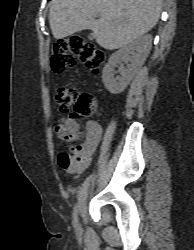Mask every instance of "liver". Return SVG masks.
I'll list each match as a JSON object with an SVG mask.
<instances>
[{"instance_id":"1","label":"liver","mask_w":194,"mask_h":250,"mask_svg":"<svg viewBox=\"0 0 194 250\" xmlns=\"http://www.w3.org/2000/svg\"><path fill=\"white\" fill-rule=\"evenodd\" d=\"M49 6V23L56 39L89 29L101 47L113 50L157 24L162 0H51Z\"/></svg>"}]
</instances>
